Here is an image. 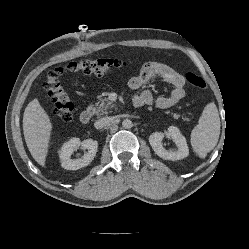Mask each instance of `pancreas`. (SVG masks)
<instances>
[{
  "instance_id": "cf45deb5",
  "label": "pancreas",
  "mask_w": 249,
  "mask_h": 249,
  "mask_svg": "<svg viewBox=\"0 0 249 249\" xmlns=\"http://www.w3.org/2000/svg\"><path fill=\"white\" fill-rule=\"evenodd\" d=\"M113 109H116V105L113 102L108 101L107 98L98 101L97 103H95V107H93V111L97 116L106 115L109 112H111V110ZM173 117L175 119H178L180 115L177 113H174ZM184 119L188 120L187 118H184Z\"/></svg>"
}]
</instances>
